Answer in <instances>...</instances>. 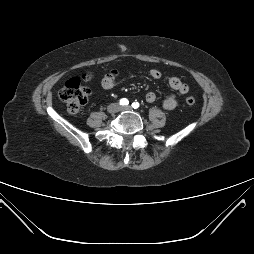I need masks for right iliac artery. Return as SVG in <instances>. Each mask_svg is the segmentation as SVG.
Returning <instances> with one entry per match:
<instances>
[{
	"instance_id": "obj_1",
	"label": "right iliac artery",
	"mask_w": 254,
	"mask_h": 254,
	"mask_svg": "<svg viewBox=\"0 0 254 254\" xmlns=\"http://www.w3.org/2000/svg\"><path fill=\"white\" fill-rule=\"evenodd\" d=\"M128 104H129V101L126 98H123V99L120 100V105L126 106Z\"/></svg>"
}]
</instances>
